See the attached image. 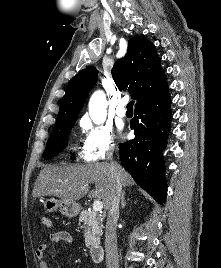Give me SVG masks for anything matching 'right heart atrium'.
Here are the masks:
<instances>
[{"label": "right heart atrium", "instance_id": "obj_1", "mask_svg": "<svg viewBox=\"0 0 221 268\" xmlns=\"http://www.w3.org/2000/svg\"><path fill=\"white\" fill-rule=\"evenodd\" d=\"M80 125L85 133L83 154L88 161H99L113 152L115 143L110 126L93 124L88 118H83Z\"/></svg>", "mask_w": 221, "mask_h": 268}]
</instances>
